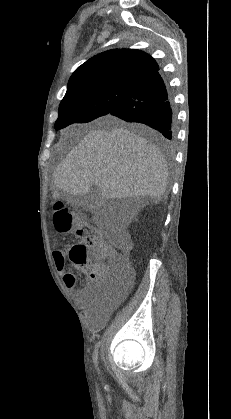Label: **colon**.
Returning <instances> with one entry per match:
<instances>
[{
  "instance_id": "1",
  "label": "colon",
  "mask_w": 231,
  "mask_h": 419,
  "mask_svg": "<svg viewBox=\"0 0 231 419\" xmlns=\"http://www.w3.org/2000/svg\"><path fill=\"white\" fill-rule=\"evenodd\" d=\"M54 223L59 232H74L79 238L72 244L68 259L72 264L85 265L87 273L97 285L107 284L115 291L121 283L130 279L132 267L124 252L117 251L104 241L88 221L74 215L66 207L56 205ZM54 256L56 260L65 262L63 253L56 252Z\"/></svg>"
}]
</instances>
